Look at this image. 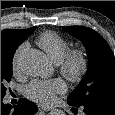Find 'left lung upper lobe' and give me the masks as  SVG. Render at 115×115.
I'll return each mask as SVG.
<instances>
[{
    "mask_svg": "<svg viewBox=\"0 0 115 115\" xmlns=\"http://www.w3.org/2000/svg\"><path fill=\"white\" fill-rule=\"evenodd\" d=\"M79 38L88 53V70L68 102L75 106L99 105L115 110V58L107 42L83 26L62 27Z\"/></svg>",
    "mask_w": 115,
    "mask_h": 115,
    "instance_id": "left-lung-upper-lobe-1",
    "label": "left lung upper lobe"
}]
</instances>
